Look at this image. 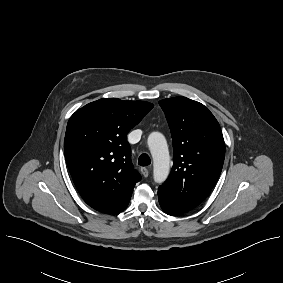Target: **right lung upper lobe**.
Returning a JSON list of instances; mask_svg holds the SVG:
<instances>
[{"label": "right lung upper lobe", "instance_id": "cb5924a9", "mask_svg": "<svg viewBox=\"0 0 283 283\" xmlns=\"http://www.w3.org/2000/svg\"><path fill=\"white\" fill-rule=\"evenodd\" d=\"M153 106L144 101L102 98L70 117L65 159L78 192L95 210L117 213L128 206L141 176L131 163L127 133Z\"/></svg>", "mask_w": 283, "mask_h": 283}]
</instances>
